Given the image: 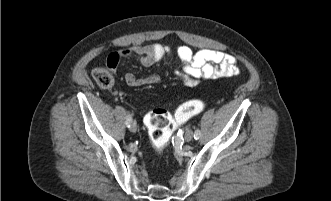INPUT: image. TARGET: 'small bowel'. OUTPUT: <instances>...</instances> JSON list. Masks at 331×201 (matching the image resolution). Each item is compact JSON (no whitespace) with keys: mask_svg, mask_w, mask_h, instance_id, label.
I'll return each mask as SVG.
<instances>
[{"mask_svg":"<svg viewBox=\"0 0 331 201\" xmlns=\"http://www.w3.org/2000/svg\"><path fill=\"white\" fill-rule=\"evenodd\" d=\"M165 57H175L181 62V68L175 71L176 75L185 85L194 86L201 80H215L229 78L239 74L235 58L223 51L214 49H201L193 52L187 46L175 49L155 43L151 45H134L122 49L116 54L115 60L110 62L111 67L125 59H136L143 66L149 67L157 64ZM125 81L131 87H140L161 81L158 74H148L137 77L133 73L125 74Z\"/></svg>","mask_w":331,"mask_h":201,"instance_id":"small-bowel-1","label":"small bowel"}]
</instances>
